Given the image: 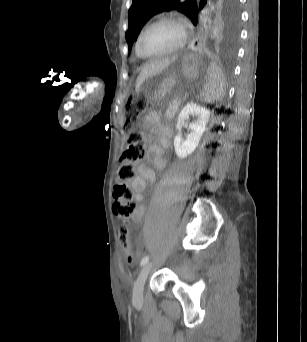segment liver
Wrapping results in <instances>:
<instances>
[{
	"instance_id": "obj_1",
	"label": "liver",
	"mask_w": 307,
	"mask_h": 342,
	"mask_svg": "<svg viewBox=\"0 0 307 342\" xmlns=\"http://www.w3.org/2000/svg\"><path fill=\"white\" fill-rule=\"evenodd\" d=\"M172 60H175V58H161V60H156V62H152V64H147L136 80V90H140L146 78H152V76H156V74H159V72L168 68Z\"/></svg>"
}]
</instances>
